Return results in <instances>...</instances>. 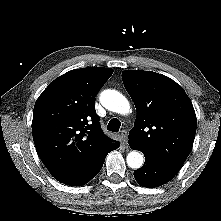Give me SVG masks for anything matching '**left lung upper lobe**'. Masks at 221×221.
I'll return each mask as SVG.
<instances>
[{"instance_id": "1", "label": "left lung upper lobe", "mask_w": 221, "mask_h": 221, "mask_svg": "<svg viewBox=\"0 0 221 221\" xmlns=\"http://www.w3.org/2000/svg\"><path fill=\"white\" fill-rule=\"evenodd\" d=\"M122 80L137 110L130 146L180 169L192 150L197 128L190 98L172 79L152 71L127 70Z\"/></svg>"}]
</instances>
